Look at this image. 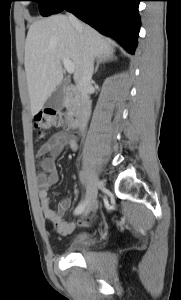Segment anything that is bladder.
<instances>
[{
	"mask_svg": "<svg viewBox=\"0 0 181 300\" xmlns=\"http://www.w3.org/2000/svg\"><path fill=\"white\" fill-rule=\"evenodd\" d=\"M95 242H96V238L92 233L81 231L74 235L71 241V248L74 251L81 250L93 246Z\"/></svg>",
	"mask_w": 181,
	"mask_h": 300,
	"instance_id": "1",
	"label": "bladder"
}]
</instances>
